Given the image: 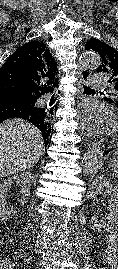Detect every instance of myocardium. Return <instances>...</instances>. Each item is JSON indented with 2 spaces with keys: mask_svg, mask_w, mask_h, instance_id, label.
Wrapping results in <instances>:
<instances>
[{
  "mask_svg": "<svg viewBox=\"0 0 118 269\" xmlns=\"http://www.w3.org/2000/svg\"><path fill=\"white\" fill-rule=\"evenodd\" d=\"M112 137L118 142V115L113 117Z\"/></svg>",
  "mask_w": 118,
  "mask_h": 269,
  "instance_id": "1",
  "label": "myocardium"
}]
</instances>
